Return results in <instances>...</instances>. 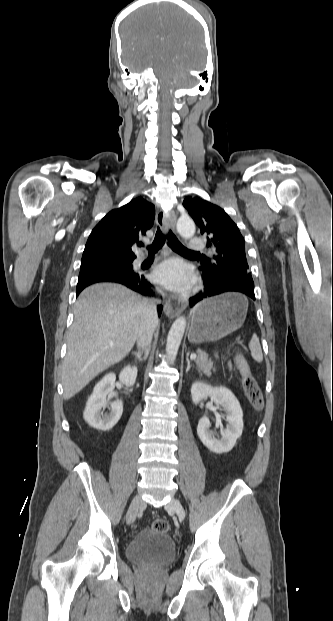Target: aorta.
<instances>
[{
	"mask_svg": "<svg viewBox=\"0 0 333 621\" xmlns=\"http://www.w3.org/2000/svg\"><path fill=\"white\" fill-rule=\"evenodd\" d=\"M195 223L190 218H180L177 222V231L185 239L195 234ZM186 328V318L179 316L173 322L167 337L166 353L170 363H174L179 346Z\"/></svg>",
	"mask_w": 333,
	"mask_h": 621,
	"instance_id": "obj_1",
	"label": "aorta"
}]
</instances>
